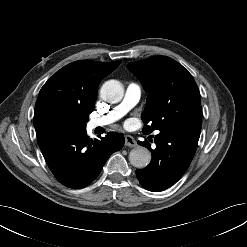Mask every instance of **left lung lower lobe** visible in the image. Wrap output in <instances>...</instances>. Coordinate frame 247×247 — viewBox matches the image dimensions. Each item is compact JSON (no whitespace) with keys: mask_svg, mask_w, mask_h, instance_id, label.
I'll return each mask as SVG.
<instances>
[{"mask_svg":"<svg viewBox=\"0 0 247 247\" xmlns=\"http://www.w3.org/2000/svg\"><path fill=\"white\" fill-rule=\"evenodd\" d=\"M199 129L173 124L154 137L156 148L148 141L138 142L151 151L150 164L136 175L142 186L150 191H163L176 183L188 169L200 137ZM153 141V140H152Z\"/></svg>","mask_w":247,"mask_h":247,"instance_id":"obj_1","label":"left lung lower lobe"}]
</instances>
